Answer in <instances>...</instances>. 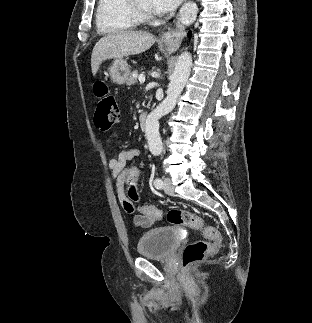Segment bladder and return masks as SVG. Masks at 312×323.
Masks as SVG:
<instances>
[{
    "mask_svg": "<svg viewBox=\"0 0 312 323\" xmlns=\"http://www.w3.org/2000/svg\"><path fill=\"white\" fill-rule=\"evenodd\" d=\"M181 240L172 227H158L146 231L138 241V253L147 258L163 259L176 251Z\"/></svg>",
    "mask_w": 312,
    "mask_h": 323,
    "instance_id": "31cf9c89",
    "label": "bladder"
}]
</instances>
